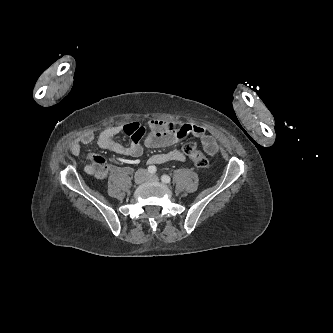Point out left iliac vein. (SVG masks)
<instances>
[{
  "label": "left iliac vein",
  "instance_id": "obj_1",
  "mask_svg": "<svg viewBox=\"0 0 333 333\" xmlns=\"http://www.w3.org/2000/svg\"><path fill=\"white\" fill-rule=\"evenodd\" d=\"M147 179L151 180V181H158L159 180L158 176H156L154 174L148 175Z\"/></svg>",
  "mask_w": 333,
  "mask_h": 333
}]
</instances>
